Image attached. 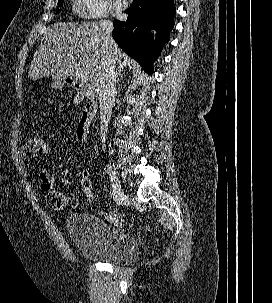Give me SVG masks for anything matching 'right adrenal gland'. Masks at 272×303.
<instances>
[{
  "instance_id": "2a0ac1e0",
  "label": "right adrenal gland",
  "mask_w": 272,
  "mask_h": 303,
  "mask_svg": "<svg viewBox=\"0 0 272 303\" xmlns=\"http://www.w3.org/2000/svg\"><path fill=\"white\" fill-rule=\"evenodd\" d=\"M121 78H122V74H121V72L119 71V73H118V78H117V83L121 80Z\"/></svg>"
}]
</instances>
